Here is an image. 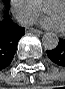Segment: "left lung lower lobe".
<instances>
[{
    "instance_id": "obj_1",
    "label": "left lung lower lobe",
    "mask_w": 65,
    "mask_h": 89,
    "mask_svg": "<svg viewBox=\"0 0 65 89\" xmlns=\"http://www.w3.org/2000/svg\"><path fill=\"white\" fill-rule=\"evenodd\" d=\"M47 55L51 61L65 67V38L59 40L55 49L48 50Z\"/></svg>"
}]
</instances>
